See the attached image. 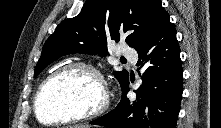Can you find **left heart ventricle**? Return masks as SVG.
I'll return each mask as SVG.
<instances>
[{"label": "left heart ventricle", "instance_id": "b2bd125f", "mask_svg": "<svg viewBox=\"0 0 221 128\" xmlns=\"http://www.w3.org/2000/svg\"><path fill=\"white\" fill-rule=\"evenodd\" d=\"M100 95L92 74L81 69L67 71L44 88L38 104L40 118L47 122L91 109Z\"/></svg>", "mask_w": 221, "mask_h": 128}]
</instances>
